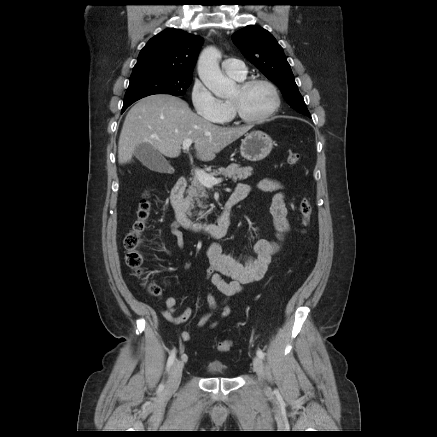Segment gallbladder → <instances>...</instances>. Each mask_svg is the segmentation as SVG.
Wrapping results in <instances>:
<instances>
[{"mask_svg":"<svg viewBox=\"0 0 437 437\" xmlns=\"http://www.w3.org/2000/svg\"><path fill=\"white\" fill-rule=\"evenodd\" d=\"M134 156L148 169L156 172H166L169 165L165 158L150 144L142 143L134 150Z\"/></svg>","mask_w":437,"mask_h":437,"instance_id":"obj_1","label":"gallbladder"}]
</instances>
